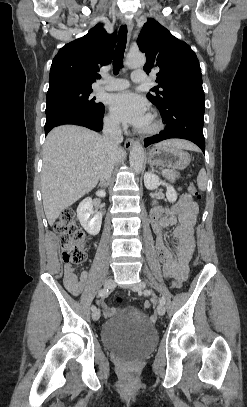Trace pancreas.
Segmentation results:
<instances>
[{
  "instance_id": "obj_1",
  "label": "pancreas",
  "mask_w": 247,
  "mask_h": 407,
  "mask_svg": "<svg viewBox=\"0 0 247 407\" xmlns=\"http://www.w3.org/2000/svg\"><path fill=\"white\" fill-rule=\"evenodd\" d=\"M162 175L170 182H174L176 179L180 177V174L173 170H164V172H162Z\"/></svg>"
}]
</instances>
